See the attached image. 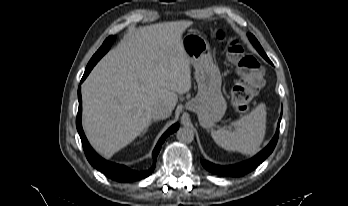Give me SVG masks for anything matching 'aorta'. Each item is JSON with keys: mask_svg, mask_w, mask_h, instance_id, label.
<instances>
[{"mask_svg": "<svg viewBox=\"0 0 348 206\" xmlns=\"http://www.w3.org/2000/svg\"><path fill=\"white\" fill-rule=\"evenodd\" d=\"M179 142L189 144L194 140V131L190 127H180L176 133Z\"/></svg>", "mask_w": 348, "mask_h": 206, "instance_id": "obj_1", "label": "aorta"}]
</instances>
